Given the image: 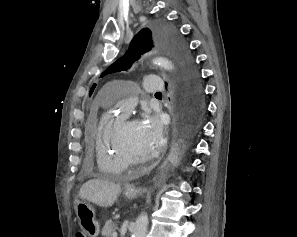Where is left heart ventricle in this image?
I'll return each instance as SVG.
<instances>
[{"mask_svg": "<svg viewBox=\"0 0 297 237\" xmlns=\"http://www.w3.org/2000/svg\"><path fill=\"white\" fill-rule=\"evenodd\" d=\"M124 141L129 150L137 156H144L153 151L142 138L137 122L130 123L126 127L124 130Z\"/></svg>", "mask_w": 297, "mask_h": 237, "instance_id": "obj_1", "label": "left heart ventricle"}]
</instances>
